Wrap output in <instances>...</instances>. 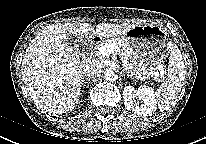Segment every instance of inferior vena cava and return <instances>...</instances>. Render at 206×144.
<instances>
[{
	"label": "inferior vena cava",
	"mask_w": 206,
	"mask_h": 144,
	"mask_svg": "<svg viewBox=\"0 0 206 144\" xmlns=\"http://www.w3.org/2000/svg\"><path fill=\"white\" fill-rule=\"evenodd\" d=\"M102 65L99 61L92 60L89 64H87L84 68V76L86 78L98 75L101 72Z\"/></svg>",
	"instance_id": "602c4592"
}]
</instances>
